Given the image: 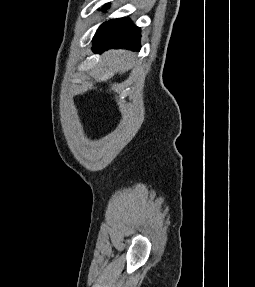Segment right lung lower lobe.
<instances>
[{"label": "right lung lower lobe", "instance_id": "right-lung-lower-lobe-1", "mask_svg": "<svg viewBox=\"0 0 255 287\" xmlns=\"http://www.w3.org/2000/svg\"><path fill=\"white\" fill-rule=\"evenodd\" d=\"M140 29L129 18L112 19L103 23L93 38L94 52L101 53L110 48L140 50Z\"/></svg>", "mask_w": 255, "mask_h": 287}]
</instances>
